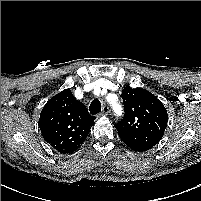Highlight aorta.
I'll return each mask as SVG.
<instances>
[{
  "label": "aorta",
  "mask_w": 201,
  "mask_h": 201,
  "mask_svg": "<svg viewBox=\"0 0 201 201\" xmlns=\"http://www.w3.org/2000/svg\"><path fill=\"white\" fill-rule=\"evenodd\" d=\"M112 107L116 115H122V106L118 102H112Z\"/></svg>",
  "instance_id": "obj_1"
}]
</instances>
